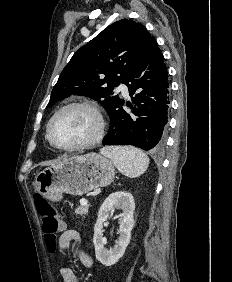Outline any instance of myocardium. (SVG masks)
Listing matches in <instances>:
<instances>
[{
  "label": "myocardium",
  "instance_id": "f54148a6",
  "mask_svg": "<svg viewBox=\"0 0 232 282\" xmlns=\"http://www.w3.org/2000/svg\"><path fill=\"white\" fill-rule=\"evenodd\" d=\"M70 108H85V109L90 110L95 115V117L97 119L98 128H97L95 135L91 139H89V140H87L83 143L77 144V145L62 146V145L58 144L52 136V125H53L55 119L61 113H63L64 111H66ZM104 133H105V121H104V118L102 116V113L100 112L99 108L93 102L86 101V100H84V101H73V102H69V103L61 106L51 116V118L48 121L47 128H46V135H47V139H48L49 143L54 148L61 150V151H79V150L88 149V148L98 144L102 140Z\"/></svg>",
  "mask_w": 232,
  "mask_h": 282
}]
</instances>
